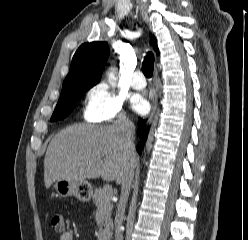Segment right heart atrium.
Masks as SVG:
<instances>
[{
  "label": "right heart atrium",
  "instance_id": "right-heart-atrium-1",
  "mask_svg": "<svg viewBox=\"0 0 248 240\" xmlns=\"http://www.w3.org/2000/svg\"><path fill=\"white\" fill-rule=\"evenodd\" d=\"M83 114L88 121L94 123L126 120L124 100L115 95L104 82L86 91Z\"/></svg>",
  "mask_w": 248,
  "mask_h": 240
}]
</instances>
